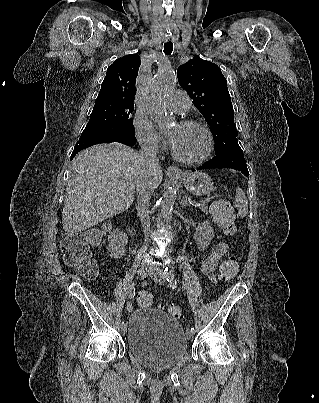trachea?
I'll use <instances>...</instances> for the list:
<instances>
[{"mask_svg":"<svg viewBox=\"0 0 319 403\" xmlns=\"http://www.w3.org/2000/svg\"><path fill=\"white\" fill-rule=\"evenodd\" d=\"M172 51H173V43L172 41L169 40L164 44V53L166 55H170Z\"/></svg>","mask_w":319,"mask_h":403,"instance_id":"3493384b","label":"trachea"}]
</instances>
